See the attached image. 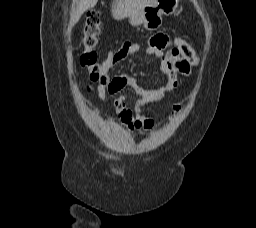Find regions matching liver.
I'll list each match as a JSON object with an SVG mask.
<instances>
[{"label":"liver","instance_id":"6515ba94","mask_svg":"<svg viewBox=\"0 0 256 228\" xmlns=\"http://www.w3.org/2000/svg\"><path fill=\"white\" fill-rule=\"evenodd\" d=\"M76 9L71 13L70 24H76L81 15L95 7L98 0H76ZM153 0H114L112 3V16L115 19H122L124 17H130L137 13L140 9L150 4Z\"/></svg>","mask_w":256,"mask_h":228}]
</instances>
